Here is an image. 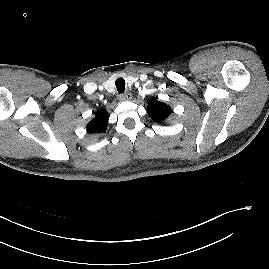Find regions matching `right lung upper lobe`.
Masks as SVG:
<instances>
[{"label":"right lung upper lobe","mask_w":269,"mask_h":269,"mask_svg":"<svg viewBox=\"0 0 269 269\" xmlns=\"http://www.w3.org/2000/svg\"><path fill=\"white\" fill-rule=\"evenodd\" d=\"M108 114L105 110H99L95 113V118L87 124L89 133H101L107 129Z\"/></svg>","instance_id":"right-lung-upper-lobe-1"}]
</instances>
